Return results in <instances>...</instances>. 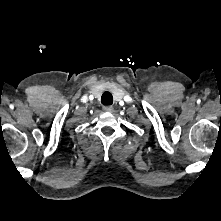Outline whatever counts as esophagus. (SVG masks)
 <instances>
[{
    "mask_svg": "<svg viewBox=\"0 0 221 221\" xmlns=\"http://www.w3.org/2000/svg\"><path fill=\"white\" fill-rule=\"evenodd\" d=\"M103 111H105V112H112L113 111V107L112 106H104L103 107Z\"/></svg>",
    "mask_w": 221,
    "mask_h": 221,
    "instance_id": "34e87169",
    "label": "esophagus"
}]
</instances>
